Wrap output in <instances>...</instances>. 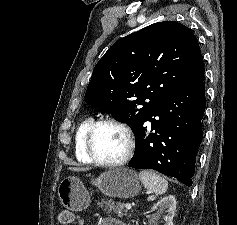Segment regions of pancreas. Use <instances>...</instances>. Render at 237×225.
Segmentation results:
<instances>
[{
    "instance_id": "1",
    "label": "pancreas",
    "mask_w": 237,
    "mask_h": 225,
    "mask_svg": "<svg viewBox=\"0 0 237 225\" xmlns=\"http://www.w3.org/2000/svg\"><path fill=\"white\" fill-rule=\"evenodd\" d=\"M97 204L107 213L117 214L118 217H123L124 215H126L124 203H115L111 200H105L104 198H102L100 201H98Z\"/></svg>"
}]
</instances>
